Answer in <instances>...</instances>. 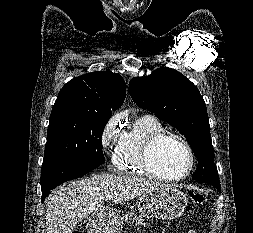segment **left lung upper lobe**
Segmentation results:
<instances>
[{
	"label": "left lung upper lobe",
	"instance_id": "left-lung-upper-lobe-1",
	"mask_svg": "<svg viewBox=\"0 0 253 233\" xmlns=\"http://www.w3.org/2000/svg\"><path fill=\"white\" fill-rule=\"evenodd\" d=\"M129 92L140 108L153 112L184 135L198 160L192 178L220 184L206 105L197 87L178 71L161 67L151 75L133 78Z\"/></svg>",
	"mask_w": 253,
	"mask_h": 233
}]
</instances>
